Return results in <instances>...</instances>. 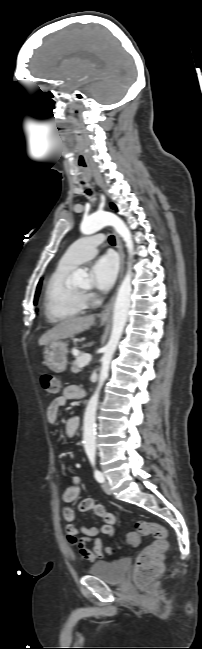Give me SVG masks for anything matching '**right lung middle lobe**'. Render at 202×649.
Masks as SVG:
<instances>
[{"label":"right lung middle lobe","instance_id":"right-lung-middle-lobe-1","mask_svg":"<svg viewBox=\"0 0 202 649\" xmlns=\"http://www.w3.org/2000/svg\"><path fill=\"white\" fill-rule=\"evenodd\" d=\"M40 288H41V281L39 282V284H38V286H37V290H36V294H35V299H34V304L37 303V299H38V296H39V293H40Z\"/></svg>","mask_w":202,"mask_h":649}]
</instances>
